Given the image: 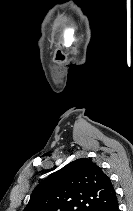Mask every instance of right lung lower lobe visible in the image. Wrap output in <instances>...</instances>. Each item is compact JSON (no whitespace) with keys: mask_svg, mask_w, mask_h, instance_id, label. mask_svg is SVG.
I'll list each match as a JSON object with an SVG mask.
<instances>
[{"mask_svg":"<svg viewBox=\"0 0 133 211\" xmlns=\"http://www.w3.org/2000/svg\"><path fill=\"white\" fill-rule=\"evenodd\" d=\"M109 211H119L118 210V203L115 204Z\"/></svg>","mask_w":133,"mask_h":211,"instance_id":"98d812e1","label":"right lung lower lobe"}]
</instances>
